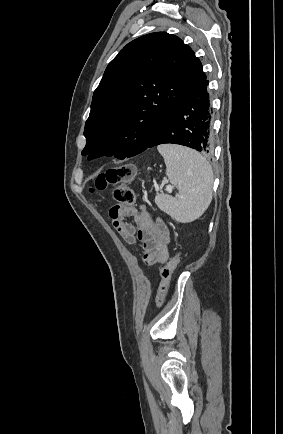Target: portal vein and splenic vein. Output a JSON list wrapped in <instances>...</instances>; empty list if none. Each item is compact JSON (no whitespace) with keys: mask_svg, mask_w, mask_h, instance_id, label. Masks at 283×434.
Listing matches in <instances>:
<instances>
[{"mask_svg":"<svg viewBox=\"0 0 283 434\" xmlns=\"http://www.w3.org/2000/svg\"><path fill=\"white\" fill-rule=\"evenodd\" d=\"M172 188H173V187H172L171 185H168V186H167V190H169V191H171Z\"/></svg>","mask_w":283,"mask_h":434,"instance_id":"18ae733b","label":"portal vein and splenic vein"}]
</instances>
